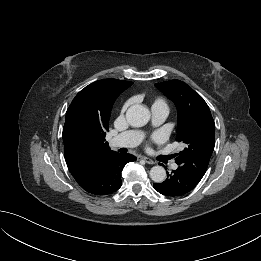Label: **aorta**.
<instances>
[{
	"label": "aorta",
	"instance_id": "aorta-1",
	"mask_svg": "<svg viewBox=\"0 0 261 261\" xmlns=\"http://www.w3.org/2000/svg\"><path fill=\"white\" fill-rule=\"evenodd\" d=\"M149 119V110L141 105H133L126 112V120L133 127L145 126ZM149 174L150 178L156 183H161L166 179V171L159 165L152 167Z\"/></svg>",
	"mask_w": 261,
	"mask_h": 261
}]
</instances>
